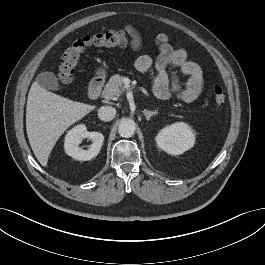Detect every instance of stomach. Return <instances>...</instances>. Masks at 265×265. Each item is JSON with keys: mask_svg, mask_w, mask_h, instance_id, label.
I'll list each match as a JSON object with an SVG mask.
<instances>
[{"mask_svg": "<svg viewBox=\"0 0 265 265\" xmlns=\"http://www.w3.org/2000/svg\"><path fill=\"white\" fill-rule=\"evenodd\" d=\"M97 74L101 77L105 76V70L104 69H98Z\"/></svg>", "mask_w": 265, "mask_h": 265, "instance_id": "obj_1", "label": "stomach"}]
</instances>
